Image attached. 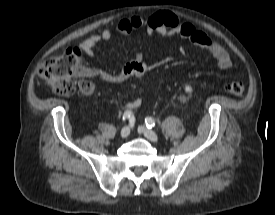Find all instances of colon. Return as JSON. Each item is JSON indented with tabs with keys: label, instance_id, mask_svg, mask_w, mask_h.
I'll return each mask as SVG.
<instances>
[{
	"label": "colon",
	"instance_id": "obj_1",
	"mask_svg": "<svg viewBox=\"0 0 275 215\" xmlns=\"http://www.w3.org/2000/svg\"><path fill=\"white\" fill-rule=\"evenodd\" d=\"M82 51L78 48H68L60 56L47 59L39 69L40 77L46 85L59 96H70L76 91L75 77L84 75ZM225 90L240 96L246 91V86L241 81H230L225 85ZM79 91L86 97L95 94V85L89 80H81Z\"/></svg>",
	"mask_w": 275,
	"mask_h": 215
}]
</instances>
